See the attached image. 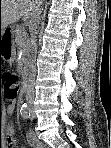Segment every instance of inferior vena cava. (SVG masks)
I'll list each match as a JSON object with an SVG mask.
<instances>
[{
  "mask_svg": "<svg viewBox=\"0 0 111 148\" xmlns=\"http://www.w3.org/2000/svg\"><path fill=\"white\" fill-rule=\"evenodd\" d=\"M40 5L36 8V10L33 12L31 16V24H30V32H31V53H32V60H31V66H30V73L28 78V86L26 90V97L27 100L31 101L35 97V78H36V65H35V58L37 54V43H36V34H37V28L41 21V8Z\"/></svg>",
  "mask_w": 111,
  "mask_h": 148,
  "instance_id": "1",
  "label": "inferior vena cava"
}]
</instances>
